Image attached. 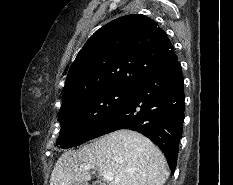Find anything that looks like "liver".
<instances>
[{
    "label": "liver",
    "instance_id": "liver-1",
    "mask_svg": "<svg viewBox=\"0 0 233 185\" xmlns=\"http://www.w3.org/2000/svg\"><path fill=\"white\" fill-rule=\"evenodd\" d=\"M90 165L103 175L111 173L108 185H163L169 177L160 149L147 137L131 130L102 136L77 151L64 152L51 174L50 185H88Z\"/></svg>",
    "mask_w": 233,
    "mask_h": 185
}]
</instances>
